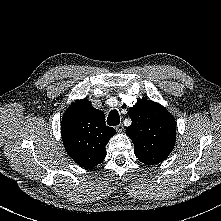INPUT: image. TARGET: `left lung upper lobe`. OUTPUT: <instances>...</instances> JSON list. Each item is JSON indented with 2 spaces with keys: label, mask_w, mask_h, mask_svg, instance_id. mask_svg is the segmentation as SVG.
Masks as SVG:
<instances>
[{
  "label": "left lung upper lobe",
  "mask_w": 221,
  "mask_h": 221,
  "mask_svg": "<svg viewBox=\"0 0 221 221\" xmlns=\"http://www.w3.org/2000/svg\"><path fill=\"white\" fill-rule=\"evenodd\" d=\"M132 124L127 135L134 144L136 157L147 165L164 161L174 148L176 122L160 104L139 100L129 110Z\"/></svg>",
  "instance_id": "obj_1"
}]
</instances>
